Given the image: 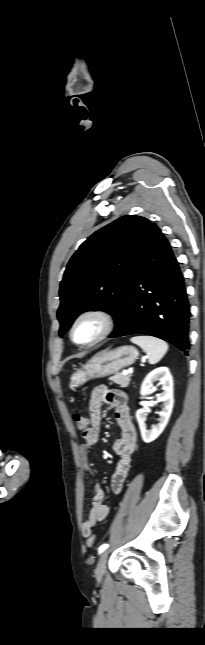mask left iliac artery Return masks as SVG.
I'll list each match as a JSON object with an SVG mask.
<instances>
[{"label": "left iliac artery", "mask_w": 205, "mask_h": 645, "mask_svg": "<svg viewBox=\"0 0 205 645\" xmlns=\"http://www.w3.org/2000/svg\"><path fill=\"white\" fill-rule=\"evenodd\" d=\"M108 547H109V545H108V544H102V545L99 547V553H102V552H103V551H105Z\"/></svg>", "instance_id": "obj_1"}]
</instances>
